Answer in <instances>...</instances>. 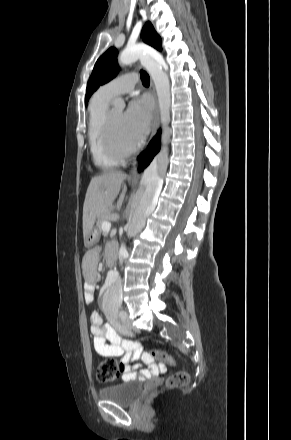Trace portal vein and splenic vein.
<instances>
[{
    "instance_id": "portal-vein-and-splenic-vein-1",
    "label": "portal vein and splenic vein",
    "mask_w": 291,
    "mask_h": 440,
    "mask_svg": "<svg viewBox=\"0 0 291 440\" xmlns=\"http://www.w3.org/2000/svg\"><path fill=\"white\" fill-rule=\"evenodd\" d=\"M110 229H111V223H110L109 221H104V222L102 223V230H103L104 232H109Z\"/></svg>"
}]
</instances>
